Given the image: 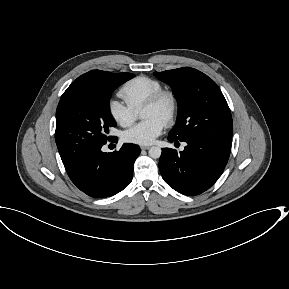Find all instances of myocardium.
Masks as SVG:
<instances>
[{
    "mask_svg": "<svg viewBox=\"0 0 289 289\" xmlns=\"http://www.w3.org/2000/svg\"><path fill=\"white\" fill-rule=\"evenodd\" d=\"M167 101L168 108L165 114L164 122L166 125H171L178 112V97L172 90L162 89L153 94L143 105L145 107H156L162 102Z\"/></svg>",
    "mask_w": 289,
    "mask_h": 289,
    "instance_id": "f54148a6",
    "label": "myocardium"
}]
</instances>
